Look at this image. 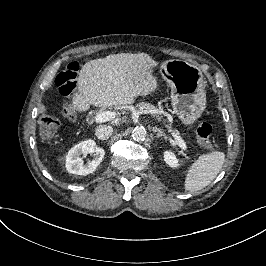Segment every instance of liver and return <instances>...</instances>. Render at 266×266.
<instances>
[{
	"label": "liver",
	"mask_w": 266,
	"mask_h": 266,
	"mask_svg": "<svg viewBox=\"0 0 266 266\" xmlns=\"http://www.w3.org/2000/svg\"><path fill=\"white\" fill-rule=\"evenodd\" d=\"M159 66V61L145 52L112 53L90 59L77 73V91L70 95V109L85 113L90 106H133L137 99L160 90V78L155 74ZM121 124L122 118L115 116L106 126Z\"/></svg>",
	"instance_id": "liver-1"
}]
</instances>
